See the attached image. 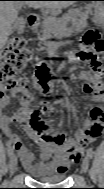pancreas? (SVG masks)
I'll return each instance as SVG.
<instances>
[{
  "instance_id": "obj_1",
  "label": "pancreas",
  "mask_w": 104,
  "mask_h": 189,
  "mask_svg": "<svg viewBox=\"0 0 104 189\" xmlns=\"http://www.w3.org/2000/svg\"><path fill=\"white\" fill-rule=\"evenodd\" d=\"M90 8L91 6L88 5L85 8L79 7L75 9H70L61 18H47L42 28L43 35L39 39L44 41L52 37H65L67 35V26L70 22L73 26L86 25L88 19L87 13L90 10Z\"/></svg>"
}]
</instances>
